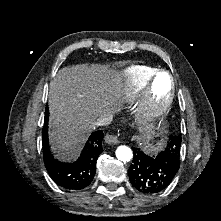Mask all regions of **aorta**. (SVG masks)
<instances>
[{
  "label": "aorta",
  "instance_id": "762f6f07",
  "mask_svg": "<svg viewBox=\"0 0 221 221\" xmlns=\"http://www.w3.org/2000/svg\"><path fill=\"white\" fill-rule=\"evenodd\" d=\"M116 157L123 162H128L132 159L133 153L128 146L121 145L116 149Z\"/></svg>",
  "mask_w": 221,
  "mask_h": 221
}]
</instances>
